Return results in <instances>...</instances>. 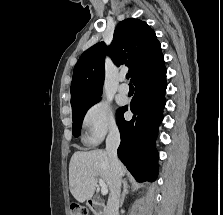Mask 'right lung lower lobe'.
<instances>
[{
	"instance_id": "1",
	"label": "right lung lower lobe",
	"mask_w": 223,
	"mask_h": 215,
	"mask_svg": "<svg viewBox=\"0 0 223 215\" xmlns=\"http://www.w3.org/2000/svg\"><path fill=\"white\" fill-rule=\"evenodd\" d=\"M134 85L135 95L130 103L133 118L124 119L127 106L122 107L117 118L121 135L118 157L137 181L153 182L158 171L155 139L165 105L166 69L137 80Z\"/></svg>"
}]
</instances>
